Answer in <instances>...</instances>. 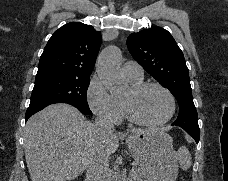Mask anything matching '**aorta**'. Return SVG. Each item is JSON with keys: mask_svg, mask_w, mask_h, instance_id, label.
<instances>
[{"mask_svg": "<svg viewBox=\"0 0 228 181\" xmlns=\"http://www.w3.org/2000/svg\"><path fill=\"white\" fill-rule=\"evenodd\" d=\"M121 51L116 46L102 50L97 61V74L113 95L121 94L127 84L120 72Z\"/></svg>", "mask_w": 228, "mask_h": 181, "instance_id": "762f6f07", "label": "aorta"}]
</instances>
